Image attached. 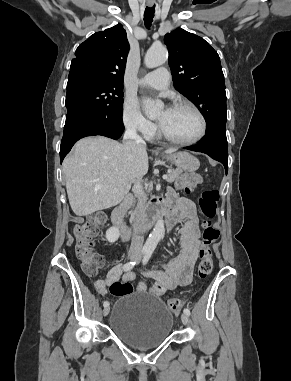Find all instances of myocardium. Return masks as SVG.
I'll return each instance as SVG.
<instances>
[{"mask_svg": "<svg viewBox=\"0 0 291 381\" xmlns=\"http://www.w3.org/2000/svg\"><path fill=\"white\" fill-rule=\"evenodd\" d=\"M182 107H186L193 110L199 117L201 126H200V130L198 134L195 137L188 140H179L168 135L166 132H164L163 129L160 127V125H158V134L163 139H165L166 141L172 144L181 145V146H189V145L196 144L205 136L207 132V119L204 113L201 111V109L190 101H186V100L177 101L172 105L171 109L182 108Z\"/></svg>", "mask_w": 291, "mask_h": 381, "instance_id": "myocardium-1", "label": "myocardium"}]
</instances>
